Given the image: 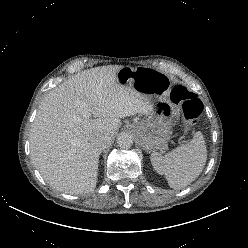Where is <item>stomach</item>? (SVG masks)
<instances>
[{"label": "stomach", "instance_id": "obj_1", "mask_svg": "<svg viewBox=\"0 0 248 248\" xmlns=\"http://www.w3.org/2000/svg\"><path fill=\"white\" fill-rule=\"evenodd\" d=\"M122 86H131L142 95L151 97L152 111L145 119L135 120L130 128L139 145L146 151L159 148L169 140L175 109L167 96L171 89L167 74L151 67H123L117 74Z\"/></svg>", "mask_w": 248, "mask_h": 248}]
</instances>
